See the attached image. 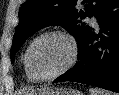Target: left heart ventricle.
<instances>
[{"instance_id":"left-heart-ventricle-1","label":"left heart ventricle","mask_w":119,"mask_h":95,"mask_svg":"<svg viewBox=\"0 0 119 95\" xmlns=\"http://www.w3.org/2000/svg\"><path fill=\"white\" fill-rule=\"evenodd\" d=\"M71 47L61 36H49L39 40L30 55L33 70L41 76L60 70L69 60Z\"/></svg>"}]
</instances>
